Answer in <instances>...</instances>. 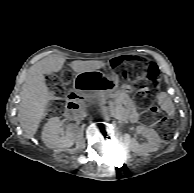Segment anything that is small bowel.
<instances>
[{
    "mask_svg": "<svg viewBox=\"0 0 194 193\" xmlns=\"http://www.w3.org/2000/svg\"><path fill=\"white\" fill-rule=\"evenodd\" d=\"M123 104L127 108V112H128L130 119L135 121L137 119V114H136L135 110L133 109L132 103L129 100L124 99Z\"/></svg>",
    "mask_w": 194,
    "mask_h": 193,
    "instance_id": "c3829d8e",
    "label": "small bowel"
}]
</instances>
